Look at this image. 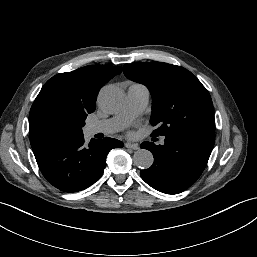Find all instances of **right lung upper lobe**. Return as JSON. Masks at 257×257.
Instances as JSON below:
<instances>
[{
  "instance_id": "right-lung-upper-lobe-1",
  "label": "right lung upper lobe",
  "mask_w": 257,
  "mask_h": 257,
  "mask_svg": "<svg viewBox=\"0 0 257 257\" xmlns=\"http://www.w3.org/2000/svg\"><path fill=\"white\" fill-rule=\"evenodd\" d=\"M122 68L110 65H89L77 70L60 73L49 79L42 87L30 110V143L32 149L49 141L56 135L43 130L37 122L40 107L51 97L60 96L75 101L86 110L94 112L100 88Z\"/></svg>"
}]
</instances>
